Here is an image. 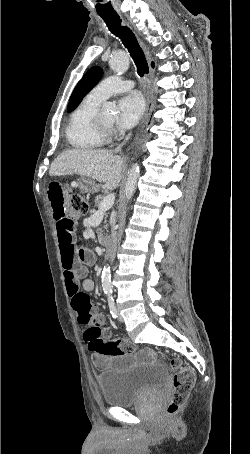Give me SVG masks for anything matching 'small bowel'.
<instances>
[{
	"label": "small bowel",
	"instance_id": "c3829d8e",
	"mask_svg": "<svg viewBox=\"0 0 250 454\" xmlns=\"http://www.w3.org/2000/svg\"><path fill=\"white\" fill-rule=\"evenodd\" d=\"M70 193L69 184L52 181L48 186V199L56 222L66 289L78 321L82 323L86 317L94 316L102 319L103 316L88 297V294L94 291L95 283L84 277L85 267L94 263L95 256L91 250L78 248L76 245L77 223L67 215ZM92 361L100 370H106L117 363L116 360L97 353L92 355Z\"/></svg>",
	"mask_w": 250,
	"mask_h": 454
}]
</instances>
